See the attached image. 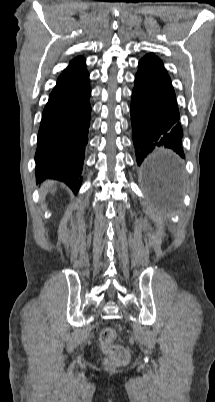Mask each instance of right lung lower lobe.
Wrapping results in <instances>:
<instances>
[{
	"label": "right lung lower lobe",
	"instance_id": "98d812e1",
	"mask_svg": "<svg viewBox=\"0 0 215 402\" xmlns=\"http://www.w3.org/2000/svg\"><path fill=\"white\" fill-rule=\"evenodd\" d=\"M90 96L89 75L76 86L49 96L35 154L38 182L56 179L78 192L91 118Z\"/></svg>",
	"mask_w": 215,
	"mask_h": 402
}]
</instances>
